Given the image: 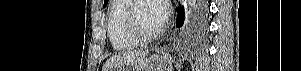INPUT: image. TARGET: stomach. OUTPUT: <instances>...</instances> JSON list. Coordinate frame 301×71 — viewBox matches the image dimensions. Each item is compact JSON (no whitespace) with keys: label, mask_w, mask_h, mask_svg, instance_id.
<instances>
[{"label":"stomach","mask_w":301,"mask_h":71,"mask_svg":"<svg viewBox=\"0 0 301 71\" xmlns=\"http://www.w3.org/2000/svg\"><path fill=\"white\" fill-rule=\"evenodd\" d=\"M171 69L168 55L152 54L138 63L121 66L112 71H171Z\"/></svg>","instance_id":"0dacf381"}]
</instances>
